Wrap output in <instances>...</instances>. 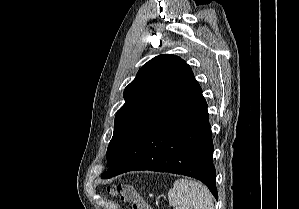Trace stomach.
Masks as SVG:
<instances>
[{
  "label": "stomach",
  "mask_w": 299,
  "mask_h": 209,
  "mask_svg": "<svg viewBox=\"0 0 299 209\" xmlns=\"http://www.w3.org/2000/svg\"><path fill=\"white\" fill-rule=\"evenodd\" d=\"M159 198H160V196H158V197L156 198V201H158Z\"/></svg>",
  "instance_id": "stomach-1"
}]
</instances>
